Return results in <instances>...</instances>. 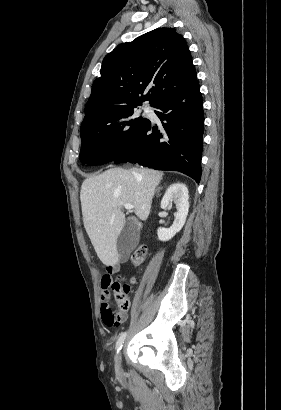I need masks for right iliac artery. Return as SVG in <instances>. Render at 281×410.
Here are the masks:
<instances>
[{
  "label": "right iliac artery",
  "mask_w": 281,
  "mask_h": 410,
  "mask_svg": "<svg viewBox=\"0 0 281 410\" xmlns=\"http://www.w3.org/2000/svg\"><path fill=\"white\" fill-rule=\"evenodd\" d=\"M125 337H126V332H124V333H122V334L120 335V337H119V339H118V341H117V343H116L117 352H119V350L122 348V345H123V343H124Z\"/></svg>",
  "instance_id": "1"
}]
</instances>
